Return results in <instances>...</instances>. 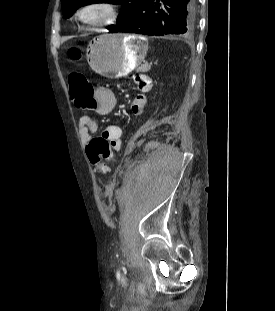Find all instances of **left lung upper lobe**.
I'll list each match as a JSON object with an SVG mask.
<instances>
[{
  "instance_id": "left-lung-upper-lobe-1",
  "label": "left lung upper lobe",
  "mask_w": 275,
  "mask_h": 311,
  "mask_svg": "<svg viewBox=\"0 0 275 311\" xmlns=\"http://www.w3.org/2000/svg\"><path fill=\"white\" fill-rule=\"evenodd\" d=\"M143 0H61L62 11L65 18H69L76 9L92 3L121 4L117 25H111V29H119L136 18L137 12Z\"/></svg>"
}]
</instances>
